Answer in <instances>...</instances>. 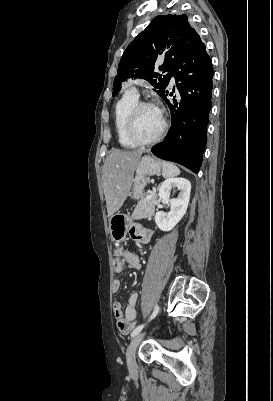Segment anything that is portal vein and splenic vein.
<instances>
[{"instance_id":"portal-vein-and-splenic-vein-1","label":"portal vein and splenic vein","mask_w":273,"mask_h":401,"mask_svg":"<svg viewBox=\"0 0 273 401\" xmlns=\"http://www.w3.org/2000/svg\"><path fill=\"white\" fill-rule=\"evenodd\" d=\"M151 198H152V195H151V194H147L146 200H147V201H150Z\"/></svg>"}]
</instances>
